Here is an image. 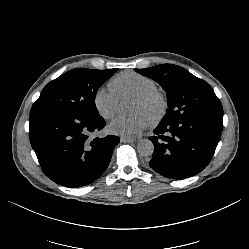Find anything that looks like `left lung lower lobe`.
Here are the masks:
<instances>
[{"label":"left lung lower lobe","instance_id":"1","mask_svg":"<svg viewBox=\"0 0 249 249\" xmlns=\"http://www.w3.org/2000/svg\"><path fill=\"white\" fill-rule=\"evenodd\" d=\"M223 127V115L185 117L160 122L149 139L154 143L150 167L173 179L201 172L211 161Z\"/></svg>","mask_w":249,"mask_h":249}]
</instances>
